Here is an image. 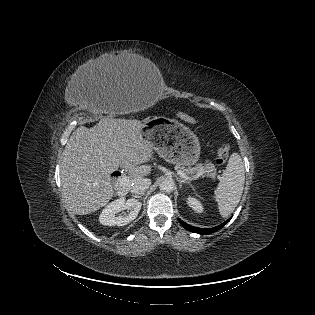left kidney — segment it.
I'll return each mask as SVG.
<instances>
[{"instance_id": "obj_1", "label": "left kidney", "mask_w": 315, "mask_h": 315, "mask_svg": "<svg viewBox=\"0 0 315 315\" xmlns=\"http://www.w3.org/2000/svg\"><path fill=\"white\" fill-rule=\"evenodd\" d=\"M187 204L196 213H202L204 211V208H203L202 204L200 203V201L194 197L189 196L187 198Z\"/></svg>"}]
</instances>
